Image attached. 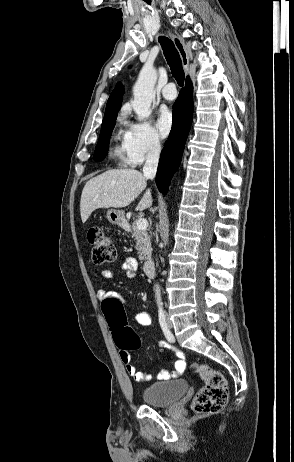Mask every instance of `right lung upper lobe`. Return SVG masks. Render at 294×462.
Wrapping results in <instances>:
<instances>
[{
    "label": "right lung upper lobe",
    "instance_id": "1",
    "mask_svg": "<svg viewBox=\"0 0 294 462\" xmlns=\"http://www.w3.org/2000/svg\"><path fill=\"white\" fill-rule=\"evenodd\" d=\"M122 94L123 87L118 83L108 99L104 117L117 115L122 102Z\"/></svg>",
    "mask_w": 294,
    "mask_h": 462
}]
</instances>
